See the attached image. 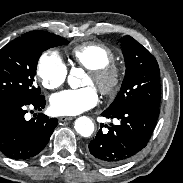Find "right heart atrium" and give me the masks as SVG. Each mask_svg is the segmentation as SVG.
Returning a JSON list of instances; mask_svg holds the SVG:
<instances>
[{
  "instance_id": "d8ad5b80",
  "label": "right heart atrium",
  "mask_w": 183,
  "mask_h": 183,
  "mask_svg": "<svg viewBox=\"0 0 183 183\" xmlns=\"http://www.w3.org/2000/svg\"><path fill=\"white\" fill-rule=\"evenodd\" d=\"M67 73V66L56 51H46L40 56L36 76L44 88L53 90L62 86Z\"/></svg>"
}]
</instances>
